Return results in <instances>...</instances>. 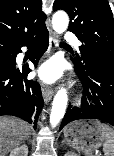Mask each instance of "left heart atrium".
<instances>
[{"label":"left heart atrium","instance_id":"39dd6f15","mask_svg":"<svg viewBox=\"0 0 114 156\" xmlns=\"http://www.w3.org/2000/svg\"><path fill=\"white\" fill-rule=\"evenodd\" d=\"M62 73V65L57 60H50L44 63L38 70L39 78L44 81L51 83L59 78Z\"/></svg>","mask_w":114,"mask_h":156}]
</instances>
